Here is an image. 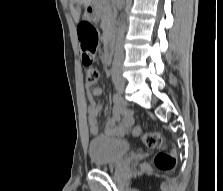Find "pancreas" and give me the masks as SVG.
<instances>
[{"instance_id": "1", "label": "pancreas", "mask_w": 223, "mask_h": 191, "mask_svg": "<svg viewBox=\"0 0 223 191\" xmlns=\"http://www.w3.org/2000/svg\"><path fill=\"white\" fill-rule=\"evenodd\" d=\"M96 9L101 19V27L104 33L112 29L114 23V7L110 0H98Z\"/></svg>"}]
</instances>
